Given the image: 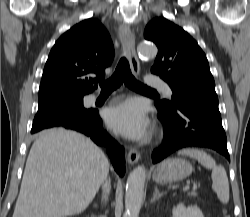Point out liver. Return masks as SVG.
<instances>
[{"label": "liver", "instance_id": "1", "mask_svg": "<svg viewBox=\"0 0 250 217\" xmlns=\"http://www.w3.org/2000/svg\"><path fill=\"white\" fill-rule=\"evenodd\" d=\"M109 167L102 150L85 136L65 129L43 131L30 149L13 217L83 212Z\"/></svg>", "mask_w": 250, "mask_h": 217}]
</instances>
